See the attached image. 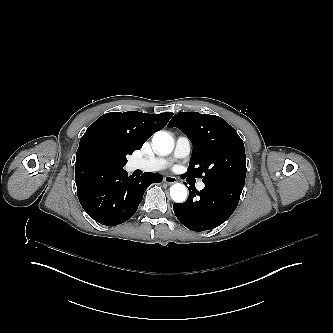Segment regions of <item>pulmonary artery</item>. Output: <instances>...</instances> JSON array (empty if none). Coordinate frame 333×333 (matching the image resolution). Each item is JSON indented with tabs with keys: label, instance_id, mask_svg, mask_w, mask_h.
<instances>
[{
	"label": "pulmonary artery",
	"instance_id": "1",
	"mask_svg": "<svg viewBox=\"0 0 333 333\" xmlns=\"http://www.w3.org/2000/svg\"><path fill=\"white\" fill-rule=\"evenodd\" d=\"M191 149L192 147L189 138L186 136H179L176 139L175 148L170 155L166 157L158 156L143 161L139 160L136 162V165L142 166L147 171L163 170L173 164L176 160L187 158L191 153ZM203 187L204 183L199 181L197 183V188L201 190Z\"/></svg>",
	"mask_w": 333,
	"mask_h": 333
}]
</instances>
